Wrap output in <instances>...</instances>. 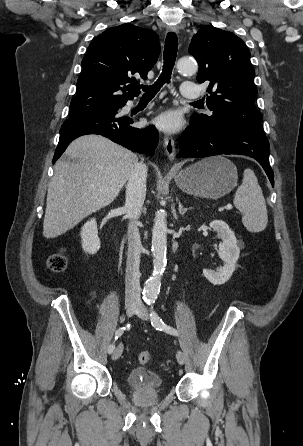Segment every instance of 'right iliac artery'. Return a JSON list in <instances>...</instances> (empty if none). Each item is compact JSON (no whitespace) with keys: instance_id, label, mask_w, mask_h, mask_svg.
Masks as SVG:
<instances>
[{"instance_id":"right-iliac-artery-1","label":"right iliac artery","mask_w":303,"mask_h":446,"mask_svg":"<svg viewBox=\"0 0 303 446\" xmlns=\"http://www.w3.org/2000/svg\"><path fill=\"white\" fill-rule=\"evenodd\" d=\"M126 327H129V324L127 326H125V327H121L118 330H116V332H115V339H118V337H120L124 333ZM114 349H115V345L112 343L108 347V353L111 354L114 351Z\"/></svg>"}]
</instances>
